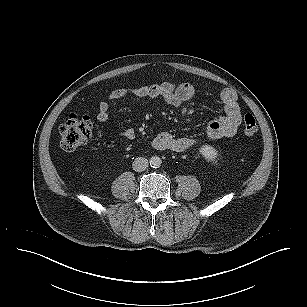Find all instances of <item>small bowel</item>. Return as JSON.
<instances>
[{"label":"small bowel","mask_w":307,"mask_h":307,"mask_svg":"<svg viewBox=\"0 0 307 307\" xmlns=\"http://www.w3.org/2000/svg\"><path fill=\"white\" fill-rule=\"evenodd\" d=\"M195 95V88L192 84L173 83L170 81L151 84L134 85L112 90L106 100L99 103L96 118L99 122H106L109 118L110 103L115 100L133 96L145 100L149 105L157 98H162L168 105L179 107L184 102L191 100ZM224 110V115L216 117L208 123L206 135L211 140L231 137L236 134L242 120L240 106L236 93L231 89H224L218 95ZM121 135L126 139L134 137V131L126 129ZM195 144V139L190 137H176L170 133H159L153 139V146L158 150H171L183 152Z\"/></svg>","instance_id":"obj_1"}]
</instances>
